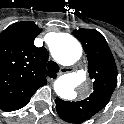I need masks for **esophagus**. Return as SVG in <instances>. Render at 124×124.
<instances>
[{
	"mask_svg": "<svg viewBox=\"0 0 124 124\" xmlns=\"http://www.w3.org/2000/svg\"><path fill=\"white\" fill-rule=\"evenodd\" d=\"M74 71L71 67H61L59 74H65Z\"/></svg>",
	"mask_w": 124,
	"mask_h": 124,
	"instance_id": "esophagus-1",
	"label": "esophagus"
}]
</instances>
